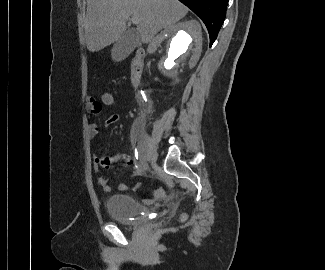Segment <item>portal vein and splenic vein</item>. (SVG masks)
<instances>
[{
    "instance_id": "1",
    "label": "portal vein and splenic vein",
    "mask_w": 325,
    "mask_h": 270,
    "mask_svg": "<svg viewBox=\"0 0 325 270\" xmlns=\"http://www.w3.org/2000/svg\"><path fill=\"white\" fill-rule=\"evenodd\" d=\"M130 20H131L132 23H134V24H138V23H139V20H138L137 17H132Z\"/></svg>"
}]
</instances>
